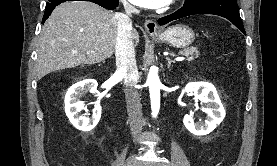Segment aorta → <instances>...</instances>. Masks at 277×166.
I'll use <instances>...</instances> for the list:
<instances>
[{
    "mask_svg": "<svg viewBox=\"0 0 277 166\" xmlns=\"http://www.w3.org/2000/svg\"><path fill=\"white\" fill-rule=\"evenodd\" d=\"M147 83L150 91L152 116L157 117L160 109L161 82L158 76V71L155 67L150 68Z\"/></svg>",
    "mask_w": 277,
    "mask_h": 166,
    "instance_id": "762f6f07",
    "label": "aorta"
}]
</instances>
